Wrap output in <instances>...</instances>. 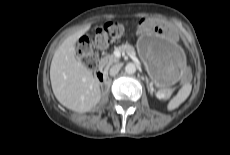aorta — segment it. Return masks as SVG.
<instances>
[{
  "mask_svg": "<svg viewBox=\"0 0 230 155\" xmlns=\"http://www.w3.org/2000/svg\"><path fill=\"white\" fill-rule=\"evenodd\" d=\"M125 72L127 74H134L136 72V65L134 63H128L125 66Z\"/></svg>",
  "mask_w": 230,
  "mask_h": 155,
  "instance_id": "1",
  "label": "aorta"
}]
</instances>
